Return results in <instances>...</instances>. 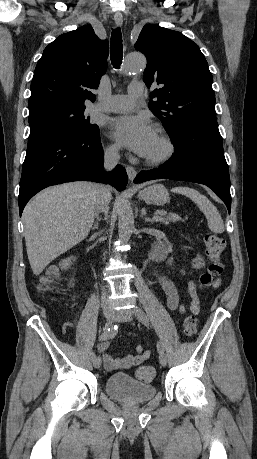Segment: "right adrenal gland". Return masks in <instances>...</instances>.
<instances>
[{
    "mask_svg": "<svg viewBox=\"0 0 257 459\" xmlns=\"http://www.w3.org/2000/svg\"><path fill=\"white\" fill-rule=\"evenodd\" d=\"M95 218H96V222H95L94 225L92 226V230L98 229V221L101 220L100 217H99V215H98V213H96Z\"/></svg>",
    "mask_w": 257,
    "mask_h": 459,
    "instance_id": "right-adrenal-gland-1",
    "label": "right adrenal gland"
}]
</instances>
